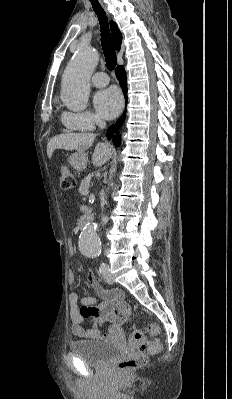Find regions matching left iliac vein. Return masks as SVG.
Returning <instances> with one entry per match:
<instances>
[{"label":"left iliac vein","mask_w":232,"mask_h":399,"mask_svg":"<svg viewBox=\"0 0 232 399\" xmlns=\"http://www.w3.org/2000/svg\"><path fill=\"white\" fill-rule=\"evenodd\" d=\"M104 280L106 281V283H110V285H113L112 274H110L109 277H104Z\"/></svg>","instance_id":"1"}]
</instances>
